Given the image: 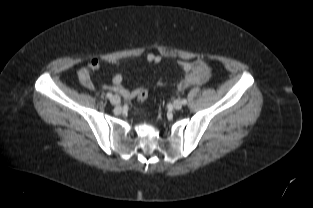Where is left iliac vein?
I'll use <instances>...</instances> for the list:
<instances>
[{"label": "left iliac vein", "mask_w": 313, "mask_h": 208, "mask_svg": "<svg viewBox=\"0 0 313 208\" xmlns=\"http://www.w3.org/2000/svg\"><path fill=\"white\" fill-rule=\"evenodd\" d=\"M182 102L180 100H175L173 102V107L176 109V110H180L182 108Z\"/></svg>", "instance_id": "obj_1"}]
</instances>
